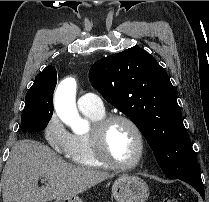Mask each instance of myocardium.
I'll return each instance as SVG.
<instances>
[{
    "label": "myocardium",
    "mask_w": 209,
    "mask_h": 202,
    "mask_svg": "<svg viewBox=\"0 0 209 202\" xmlns=\"http://www.w3.org/2000/svg\"><path fill=\"white\" fill-rule=\"evenodd\" d=\"M116 122H124L128 124L137 135L139 141V151L137 159L132 164L118 163L114 161L107 152L106 135L111 125H113ZM90 139L96 157L106 167L120 171H130L138 168L144 160L146 153L145 135L140 126L129 116L123 114H114L102 118L93 125L90 131Z\"/></svg>",
    "instance_id": "obj_1"
}]
</instances>
